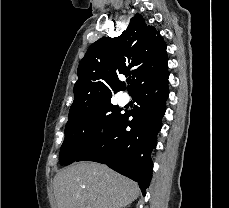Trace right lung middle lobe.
Segmentation results:
<instances>
[{"mask_svg":"<svg viewBox=\"0 0 229 208\" xmlns=\"http://www.w3.org/2000/svg\"><path fill=\"white\" fill-rule=\"evenodd\" d=\"M122 116L121 109L107 100L83 115L69 118L65 126V139L60 149V164L69 165L75 162L113 130ZM102 121L104 134L100 135Z\"/></svg>","mask_w":229,"mask_h":208,"instance_id":"dd1d6c3e","label":"right lung middle lobe"}]
</instances>
